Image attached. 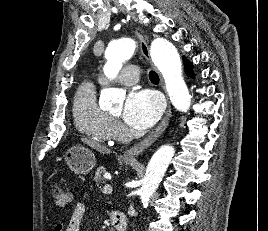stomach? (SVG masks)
Returning a JSON list of instances; mask_svg holds the SVG:
<instances>
[{
	"mask_svg": "<svg viewBox=\"0 0 268 231\" xmlns=\"http://www.w3.org/2000/svg\"><path fill=\"white\" fill-rule=\"evenodd\" d=\"M65 161L75 174H88L96 165V158L93 152L84 146H74L65 154ZM129 164L130 161H125Z\"/></svg>",
	"mask_w": 268,
	"mask_h": 231,
	"instance_id": "obj_1",
	"label": "stomach"
}]
</instances>
